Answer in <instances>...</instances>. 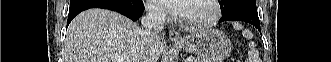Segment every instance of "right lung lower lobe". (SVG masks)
<instances>
[{
	"label": "right lung lower lobe",
	"mask_w": 331,
	"mask_h": 62,
	"mask_svg": "<svg viewBox=\"0 0 331 62\" xmlns=\"http://www.w3.org/2000/svg\"><path fill=\"white\" fill-rule=\"evenodd\" d=\"M90 8L109 9L128 17L133 21H137L144 10V5L142 0H140L139 4L131 6L115 0H78L74 3H70L67 24H69L80 12Z\"/></svg>",
	"instance_id": "98d812e1"
}]
</instances>
